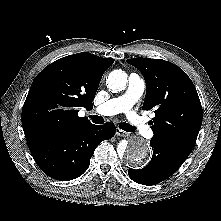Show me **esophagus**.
Returning <instances> with one entry per match:
<instances>
[{
  "label": "esophagus",
  "instance_id": "obj_1",
  "mask_svg": "<svg viewBox=\"0 0 221 221\" xmlns=\"http://www.w3.org/2000/svg\"><path fill=\"white\" fill-rule=\"evenodd\" d=\"M116 135L120 137L126 136V132L121 130L120 128H116Z\"/></svg>",
  "mask_w": 221,
  "mask_h": 221
}]
</instances>
